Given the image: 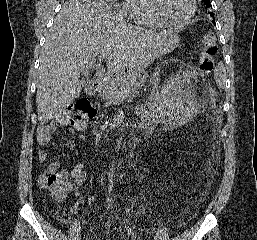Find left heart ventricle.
Returning a JSON list of instances; mask_svg holds the SVG:
<instances>
[{"label":"left heart ventricle","instance_id":"1","mask_svg":"<svg viewBox=\"0 0 257 240\" xmlns=\"http://www.w3.org/2000/svg\"><path fill=\"white\" fill-rule=\"evenodd\" d=\"M159 8L167 19L180 21L190 11V0H159Z\"/></svg>","mask_w":257,"mask_h":240}]
</instances>
